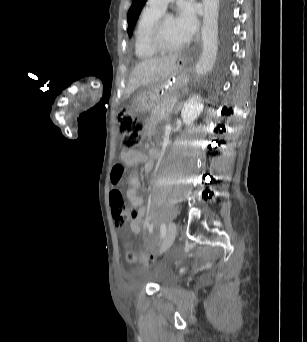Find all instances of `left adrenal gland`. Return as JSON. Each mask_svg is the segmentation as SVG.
Segmentation results:
<instances>
[{"label":"left adrenal gland","mask_w":307,"mask_h":342,"mask_svg":"<svg viewBox=\"0 0 307 342\" xmlns=\"http://www.w3.org/2000/svg\"><path fill=\"white\" fill-rule=\"evenodd\" d=\"M182 102H177L176 106H175V110L176 112H178L180 106H181Z\"/></svg>","instance_id":"a2214340"}]
</instances>
